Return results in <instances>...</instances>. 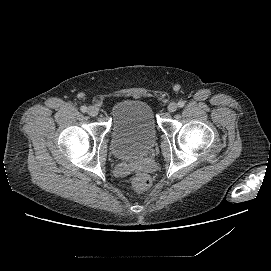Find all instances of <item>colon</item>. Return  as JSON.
<instances>
[{
    "label": "colon",
    "instance_id": "obj_1",
    "mask_svg": "<svg viewBox=\"0 0 271 271\" xmlns=\"http://www.w3.org/2000/svg\"><path fill=\"white\" fill-rule=\"evenodd\" d=\"M151 185L150 177L145 173H138L131 179V186L136 192H143Z\"/></svg>",
    "mask_w": 271,
    "mask_h": 271
}]
</instances>
